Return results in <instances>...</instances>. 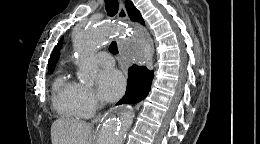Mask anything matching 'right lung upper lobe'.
Instances as JSON below:
<instances>
[{"label": "right lung upper lobe", "instance_id": "right-lung-upper-lobe-1", "mask_svg": "<svg viewBox=\"0 0 260 144\" xmlns=\"http://www.w3.org/2000/svg\"><path fill=\"white\" fill-rule=\"evenodd\" d=\"M126 10L131 20L140 22L144 25V20L140 14V12L135 8L131 1H126ZM62 46V39L58 42L57 46L54 48L52 55L49 59V70L53 71L54 66L59 58V50Z\"/></svg>", "mask_w": 260, "mask_h": 144}]
</instances>
